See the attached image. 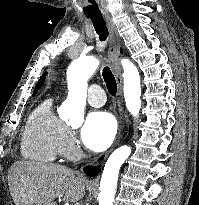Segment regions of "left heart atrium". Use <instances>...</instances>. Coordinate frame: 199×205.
Instances as JSON below:
<instances>
[{
	"label": "left heart atrium",
	"instance_id": "1",
	"mask_svg": "<svg viewBox=\"0 0 199 205\" xmlns=\"http://www.w3.org/2000/svg\"><path fill=\"white\" fill-rule=\"evenodd\" d=\"M116 131L117 124L110 113L95 111L86 117L80 136L87 148L102 151L112 144Z\"/></svg>",
	"mask_w": 199,
	"mask_h": 205
}]
</instances>
